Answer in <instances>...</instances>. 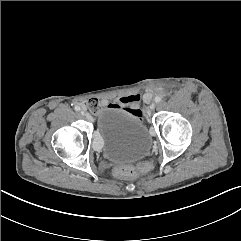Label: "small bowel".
<instances>
[{
  "label": "small bowel",
  "mask_w": 241,
  "mask_h": 241,
  "mask_svg": "<svg viewBox=\"0 0 241 241\" xmlns=\"http://www.w3.org/2000/svg\"><path fill=\"white\" fill-rule=\"evenodd\" d=\"M142 99V95L139 93H133L121 96L117 98L113 103L104 101V104L122 109L123 111L131 114L133 120H144L146 118V111L138 108V105Z\"/></svg>",
  "instance_id": "small-bowel-1"
}]
</instances>
